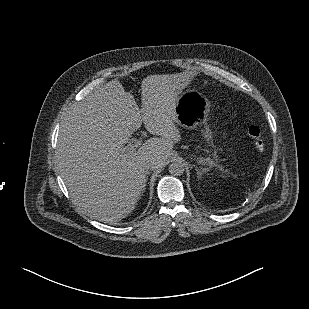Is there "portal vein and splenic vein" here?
<instances>
[{"instance_id":"portal-vein-and-splenic-vein-1","label":"portal vein and splenic vein","mask_w":309,"mask_h":309,"mask_svg":"<svg viewBox=\"0 0 309 309\" xmlns=\"http://www.w3.org/2000/svg\"><path fill=\"white\" fill-rule=\"evenodd\" d=\"M141 145V141H136L133 146L131 147V149H133L134 147H139Z\"/></svg>"}]
</instances>
